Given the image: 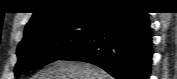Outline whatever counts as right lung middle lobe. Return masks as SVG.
<instances>
[{
  "label": "right lung middle lobe",
  "mask_w": 177,
  "mask_h": 79,
  "mask_svg": "<svg viewBox=\"0 0 177 79\" xmlns=\"http://www.w3.org/2000/svg\"><path fill=\"white\" fill-rule=\"evenodd\" d=\"M100 15L81 17L34 29L24 35L17 55L15 76L59 60L86 40Z\"/></svg>",
  "instance_id": "dd1d6c3e"
}]
</instances>
